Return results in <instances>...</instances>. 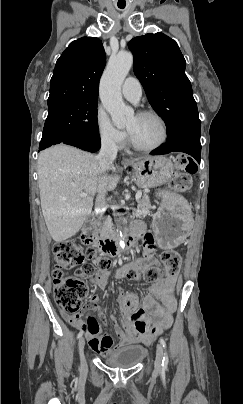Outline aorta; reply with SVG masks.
<instances>
[{"label": "aorta", "mask_w": 243, "mask_h": 404, "mask_svg": "<svg viewBox=\"0 0 243 404\" xmlns=\"http://www.w3.org/2000/svg\"><path fill=\"white\" fill-rule=\"evenodd\" d=\"M132 64L133 56L131 52H119L117 56H111L100 80V100L117 128L125 126L126 122L134 116L133 108L125 106L121 94V86L130 68H132ZM118 228L116 232L119 246L124 250L125 242L123 234Z\"/></svg>", "instance_id": "obj_1"}]
</instances>
